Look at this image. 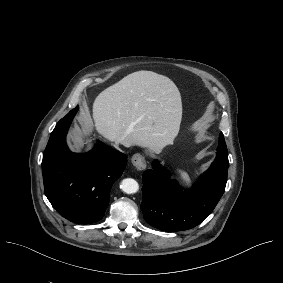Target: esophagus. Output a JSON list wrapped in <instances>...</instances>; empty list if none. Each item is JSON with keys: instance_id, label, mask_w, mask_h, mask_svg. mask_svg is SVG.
<instances>
[{"instance_id": "34e87169", "label": "esophagus", "mask_w": 283, "mask_h": 283, "mask_svg": "<svg viewBox=\"0 0 283 283\" xmlns=\"http://www.w3.org/2000/svg\"><path fill=\"white\" fill-rule=\"evenodd\" d=\"M131 163L138 170H144L146 168V159L143 155L136 153L131 158Z\"/></svg>"}]
</instances>
